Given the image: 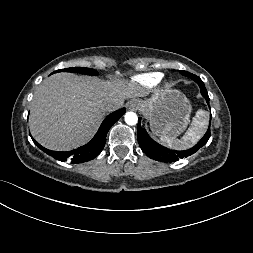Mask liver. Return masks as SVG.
Listing matches in <instances>:
<instances>
[{"instance_id": "1", "label": "liver", "mask_w": 253, "mask_h": 253, "mask_svg": "<svg viewBox=\"0 0 253 253\" xmlns=\"http://www.w3.org/2000/svg\"><path fill=\"white\" fill-rule=\"evenodd\" d=\"M144 95L140 86L127 80L104 81L57 73L45 79L35 92L30 131L42 146L68 151L90 139L105 113L111 111L107 110L108 104L118 109L124 100Z\"/></svg>"}]
</instances>
